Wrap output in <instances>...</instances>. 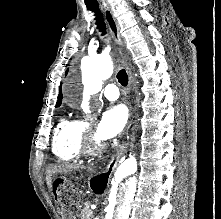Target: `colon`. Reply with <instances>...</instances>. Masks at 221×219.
Wrapping results in <instances>:
<instances>
[{
    "label": "colon",
    "instance_id": "obj_1",
    "mask_svg": "<svg viewBox=\"0 0 221 219\" xmlns=\"http://www.w3.org/2000/svg\"><path fill=\"white\" fill-rule=\"evenodd\" d=\"M55 190L57 191V193H59V195L63 199L69 200L71 202H75L76 201V193L68 185H66V184H57L55 186Z\"/></svg>",
    "mask_w": 221,
    "mask_h": 219
}]
</instances>
